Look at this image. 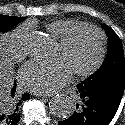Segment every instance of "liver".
Listing matches in <instances>:
<instances>
[{
  "label": "liver",
  "instance_id": "liver-1",
  "mask_svg": "<svg viewBox=\"0 0 125 125\" xmlns=\"http://www.w3.org/2000/svg\"><path fill=\"white\" fill-rule=\"evenodd\" d=\"M3 45L2 40H0V100L9 97L13 86V69Z\"/></svg>",
  "mask_w": 125,
  "mask_h": 125
}]
</instances>
